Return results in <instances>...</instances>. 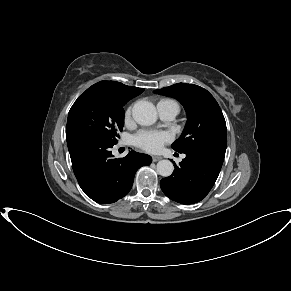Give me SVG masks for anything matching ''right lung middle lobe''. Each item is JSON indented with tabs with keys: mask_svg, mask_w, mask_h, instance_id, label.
Instances as JSON below:
<instances>
[{
	"mask_svg": "<svg viewBox=\"0 0 291 291\" xmlns=\"http://www.w3.org/2000/svg\"><path fill=\"white\" fill-rule=\"evenodd\" d=\"M126 100L118 99L109 93L88 88L73 104L66 125V135L83 134L114 145L117 132L124 125Z\"/></svg>",
	"mask_w": 291,
	"mask_h": 291,
	"instance_id": "dd1d6c3e",
	"label": "right lung middle lobe"
}]
</instances>
